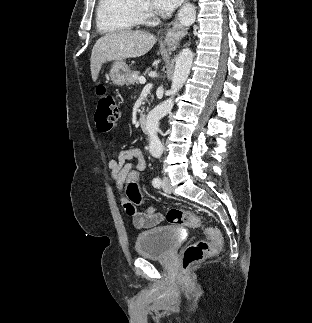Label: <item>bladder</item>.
I'll return each instance as SVG.
<instances>
[{
	"mask_svg": "<svg viewBox=\"0 0 312 323\" xmlns=\"http://www.w3.org/2000/svg\"><path fill=\"white\" fill-rule=\"evenodd\" d=\"M180 242L176 229L160 226L138 234L135 245L139 256L166 259L171 252H176Z\"/></svg>",
	"mask_w": 312,
	"mask_h": 323,
	"instance_id": "obj_1",
	"label": "bladder"
}]
</instances>
